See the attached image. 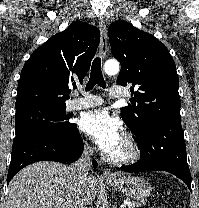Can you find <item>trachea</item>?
I'll use <instances>...</instances> for the list:
<instances>
[{
	"mask_svg": "<svg viewBox=\"0 0 199 208\" xmlns=\"http://www.w3.org/2000/svg\"><path fill=\"white\" fill-rule=\"evenodd\" d=\"M96 84L102 88H106V83L101 70V59L99 57H96L92 63L90 78L85 90L90 91Z\"/></svg>",
	"mask_w": 199,
	"mask_h": 208,
	"instance_id": "1",
	"label": "trachea"
}]
</instances>
